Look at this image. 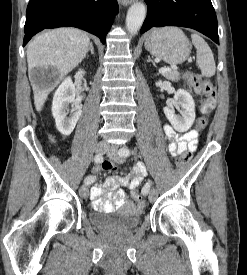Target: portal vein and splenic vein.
Returning <instances> with one entry per match:
<instances>
[{"instance_id":"obj_1","label":"portal vein and splenic vein","mask_w":247,"mask_h":275,"mask_svg":"<svg viewBox=\"0 0 247 275\" xmlns=\"http://www.w3.org/2000/svg\"><path fill=\"white\" fill-rule=\"evenodd\" d=\"M167 71H168L167 68H160V69H159V72H160L161 74H164V73H166Z\"/></svg>"}]
</instances>
